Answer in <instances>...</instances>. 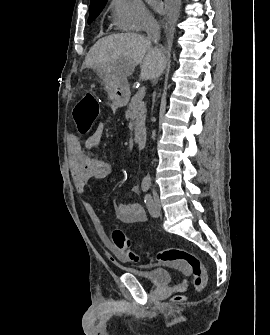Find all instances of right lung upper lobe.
<instances>
[{"mask_svg": "<svg viewBox=\"0 0 270 335\" xmlns=\"http://www.w3.org/2000/svg\"><path fill=\"white\" fill-rule=\"evenodd\" d=\"M105 2H107V0H91L90 5H96Z\"/></svg>", "mask_w": 270, "mask_h": 335, "instance_id": "cb5924a9", "label": "right lung upper lobe"}]
</instances>
